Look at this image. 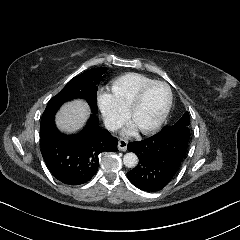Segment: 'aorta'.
<instances>
[{
	"instance_id": "762f6f07",
	"label": "aorta",
	"mask_w": 240,
	"mask_h": 240,
	"mask_svg": "<svg viewBox=\"0 0 240 240\" xmlns=\"http://www.w3.org/2000/svg\"><path fill=\"white\" fill-rule=\"evenodd\" d=\"M123 163L128 168H133L138 164V157L135 153H126L123 157Z\"/></svg>"
}]
</instances>
